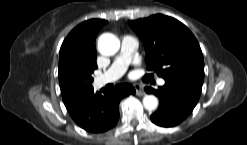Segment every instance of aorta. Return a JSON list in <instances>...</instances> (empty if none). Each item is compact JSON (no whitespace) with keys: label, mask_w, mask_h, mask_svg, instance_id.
Returning <instances> with one entry per match:
<instances>
[{"label":"aorta","mask_w":247,"mask_h":145,"mask_svg":"<svg viewBox=\"0 0 247 145\" xmlns=\"http://www.w3.org/2000/svg\"><path fill=\"white\" fill-rule=\"evenodd\" d=\"M98 50L106 56L114 55L119 50V41L111 33H104L98 39ZM143 106L146 110H155L158 106V99L154 95H145Z\"/></svg>","instance_id":"obj_1"}]
</instances>
